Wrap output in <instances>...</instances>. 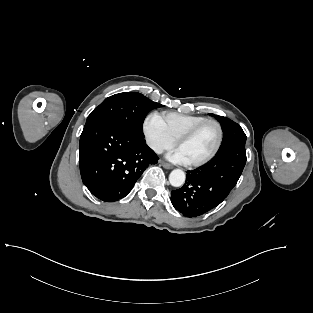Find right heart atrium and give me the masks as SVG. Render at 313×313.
Masks as SVG:
<instances>
[{
    "label": "right heart atrium",
    "instance_id": "d8ad5b80",
    "mask_svg": "<svg viewBox=\"0 0 313 313\" xmlns=\"http://www.w3.org/2000/svg\"><path fill=\"white\" fill-rule=\"evenodd\" d=\"M143 133L147 145L157 154L172 148L175 144L158 113H151L146 117Z\"/></svg>",
    "mask_w": 313,
    "mask_h": 313
}]
</instances>
